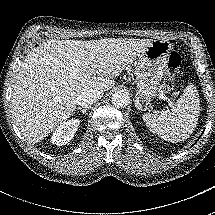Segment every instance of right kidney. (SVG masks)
<instances>
[{"label": "right kidney", "instance_id": "1", "mask_svg": "<svg viewBox=\"0 0 215 215\" xmlns=\"http://www.w3.org/2000/svg\"><path fill=\"white\" fill-rule=\"evenodd\" d=\"M79 125L80 120L75 118L63 122L56 127L55 131L51 136L50 142L57 146L66 145L74 137Z\"/></svg>", "mask_w": 215, "mask_h": 215}]
</instances>
